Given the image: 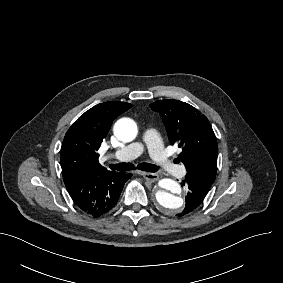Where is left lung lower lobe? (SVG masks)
<instances>
[{
	"label": "left lung lower lobe",
	"mask_w": 283,
	"mask_h": 283,
	"mask_svg": "<svg viewBox=\"0 0 283 283\" xmlns=\"http://www.w3.org/2000/svg\"><path fill=\"white\" fill-rule=\"evenodd\" d=\"M215 176L202 172H187L185 180L181 183L187 188L186 205L180 216L187 215L195 211L203 202L210 186L213 184Z\"/></svg>",
	"instance_id": "1"
}]
</instances>
